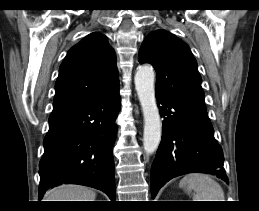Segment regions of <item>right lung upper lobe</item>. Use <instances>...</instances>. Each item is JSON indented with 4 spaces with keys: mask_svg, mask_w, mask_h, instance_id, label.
Here are the masks:
<instances>
[{
    "mask_svg": "<svg viewBox=\"0 0 259 211\" xmlns=\"http://www.w3.org/2000/svg\"><path fill=\"white\" fill-rule=\"evenodd\" d=\"M118 88L116 58L108 39L91 33L68 51L60 66L53 111L91 103Z\"/></svg>",
    "mask_w": 259,
    "mask_h": 211,
    "instance_id": "cb5924a9",
    "label": "right lung upper lobe"
}]
</instances>
